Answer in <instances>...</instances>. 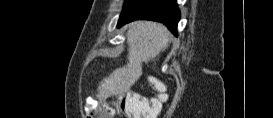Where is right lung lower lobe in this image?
Wrapping results in <instances>:
<instances>
[{"label": "right lung lower lobe", "instance_id": "1", "mask_svg": "<svg viewBox=\"0 0 273 118\" xmlns=\"http://www.w3.org/2000/svg\"><path fill=\"white\" fill-rule=\"evenodd\" d=\"M152 20L164 23L177 36L180 11L176 0H127L118 21V27L134 20Z\"/></svg>", "mask_w": 273, "mask_h": 118}]
</instances>
